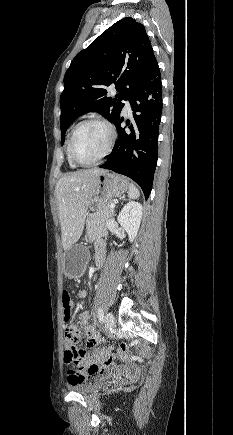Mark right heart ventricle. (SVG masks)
Listing matches in <instances>:
<instances>
[{"instance_id":"right-heart-ventricle-1","label":"right heart ventricle","mask_w":233,"mask_h":435,"mask_svg":"<svg viewBox=\"0 0 233 435\" xmlns=\"http://www.w3.org/2000/svg\"><path fill=\"white\" fill-rule=\"evenodd\" d=\"M66 155H67V163L71 168H76V165L72 162L71 158L69 157L68 154V143H67V147H66Z\"/></svg>"}]
</instances>
